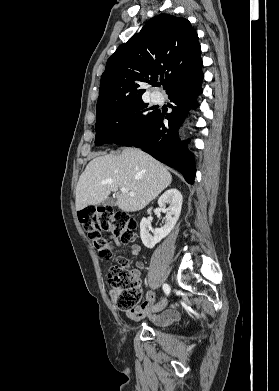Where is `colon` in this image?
<instances>
[{
  "mask_svg": "<svg viewBox=\"0 0 279 391\" xmlns=\"http://www.w3.org/2000/svg\"><path fill=\"white\" fill-rule=\"evenodd\" d=\"M78 217L95 251L103 259L111 258L113 241L128 244L136 239L137 223L126 212L115 211L111 207L85 208L78 213ZM105 232L111 236H103ZM108 281L112 297L119 309L130 311L139 304L142 289L125 258H120L118 263L110 268Z\"/></svg>",
  "mask_w": 279,
  "mask_h": 391,
  "instance_id": "obj_1",
  "label": "colon"
}]
</instances>
